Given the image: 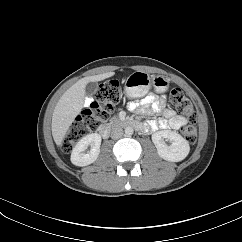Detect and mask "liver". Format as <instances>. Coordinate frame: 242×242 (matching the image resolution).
<instances>
[{
  "label": "liver",
  "instance_id": "liver-1",
  "mask_svg": "<svg viewBox=\"0 0 242 242\" xmlns=\"http://www.w3.org/2000/svg\"><path fill=\"white\" fill-rule=\"evenodd\" d=\"M114 74L107 72L82 78L61 96L52 116V136L58 146H61L69 127L83 108L86 85L102 81Z\"/></svg>",
  "mask_w": 242,
  "mask_h": 242
}]
</instances>
